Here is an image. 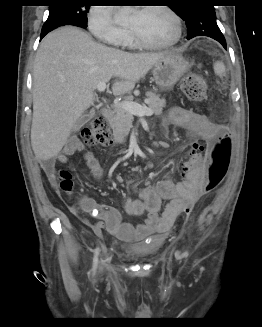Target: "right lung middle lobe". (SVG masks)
<instances>
[{
  "instance_id": "obj_1",
  "label": "right lung middle lobe",
  "mask_w": 262,
  "mask_h": 327,
  "mask_svg": "<svg viewBox=\"0 0 262 327\" xmlns=\"http://www.w3.org/2000/svg\"><path fill=\"white\" fill-rule=\"evenodd\" d=\"M56 4L49 6V16L42 30L61 24L76 23L86 25L88 5L76 4L75 0H55Z\"/></svg>"
}]
</instances>
